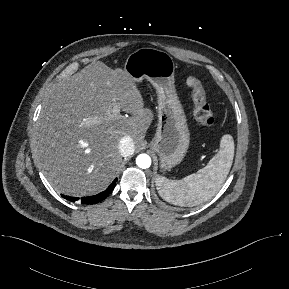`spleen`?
<instances>
[{"label":"spleen","instance_id":"3e777b00","mask_svg":"<svg viewBox=\"0 0 289 289\" xmlns=\"http://www.w3.org/2000/svg\"><path fill=\"white\" fill-rule=\"evenodd\" d=\"M234 140L229 134L220 141V149L209 163L181 180L157 175L156 188L167 202L179 206H196L211 199L225 182L234 157Z\"/></svg>","mask_w":289,"mask_h":289}]
</instances>
